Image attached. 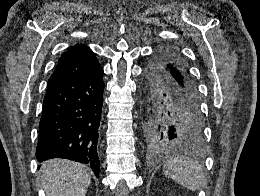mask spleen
Listing matches in <instances>:
<instances>
[{
    "label": "spleen",
    "instance_id": "1",
    "mask_svg": "<svg viewBox=\"0 0 260 196\" xmlns=\"http://www.w3.org/2000/svg\"><path fill=\"white\" fill-rule=\"evenodd\" d=\"M163 172L166 178H172L174 182L192 192L201 190L202 186H205L203 166L196 160H190L185 156H178V158L164 162Z\"/></svg>",
    "mask_w": 260,
    "mask_h": 196
}]
</instances>
